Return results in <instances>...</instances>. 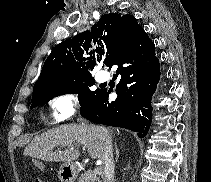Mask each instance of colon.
Wrapping results in <instances>:
<instances>
[{
  "mask_svg": "<svg viewBox=\"0 0 211 182\" xmlns=\"http://www.w3.org/2000/svg\"><path fill=\"white\" fill-rule=\"evenodd\" d=\"M36 182H51V181H48V180H37Z\"/></svg>",
  "mask_w": 211,
  "mask_h": 182,
  "instance_id": "1",
  "label": "colon"
}]
</instances>
